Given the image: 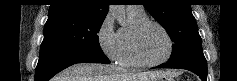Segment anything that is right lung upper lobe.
I'll return each instance as SVG.
<instances>
[{"label": "right lung upper lobe", "instance_id": "right-lung-upper-lobe-1", "mask_svg": "<svg viewBox=\"0 0 237 81\" xmlns=\"http://www.w3.org/2000/svg\"><path fill=\"white\" fill-rule=\"evenodd\" d=\"M109 0H53L48 19L60 16H85L105 18Z\"/></svg>", "mask_w": 237, "mask_h": 81}]
</instances>
